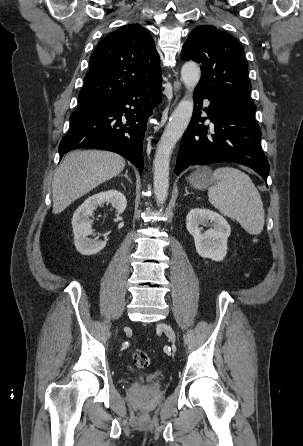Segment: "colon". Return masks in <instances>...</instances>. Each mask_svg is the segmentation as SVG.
Wrapping results in <instances>:
<instances>
[{
    "mask_svg": "<svg viewBox=\"0 0 303 446\" xmlns=\"http://www.w3.org/2000/svg\"><path fill=\"white\" fill-rule=\"evenodd\" d=\"M134 365L139 369H145L150 365L149 355L142 350H135L132 354Z\"/></svg>",
    "mask_w": 303,
    "mask_h": 446,
    "instance_id": "obj_1",
    "label": "colon"
}]
</instances>
